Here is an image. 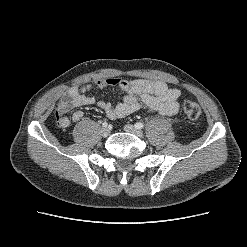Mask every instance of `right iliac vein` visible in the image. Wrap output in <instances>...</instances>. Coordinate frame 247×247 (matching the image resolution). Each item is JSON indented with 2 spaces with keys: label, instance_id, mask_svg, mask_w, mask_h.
<instances>
[{
  "label": "right iliac vein",
  "instance_id": "right-iliac-vein-1",
  "mask_svg": "<svg viewBox=\"0 0 247 247\" xmlns=\"http://www.w3.org/2000/svg\"><path fill=\"white\" fill-rule=\"evenodd\" d=\"M109 133H110V130L107 127H104L101 129L102 136L107 137Z\"/></svg>",
  "mask_w": 247,
  "mask_h": 247
}]
</instances>
